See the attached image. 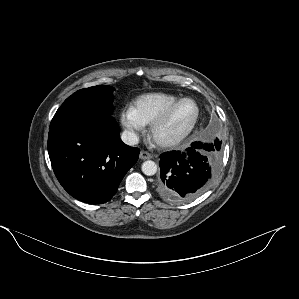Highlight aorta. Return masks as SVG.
Returning <instances> with one entry per match:
<instances>
[{"label": "aorta", "instance_id": "aorta-1", "mask_svg": "<svg viewBox=\"0 0 299 299\" xmlns=\"http://www.w3.org/2000/svg\"><path fill=\"white\" fill-rule=\"evenodd\" d=\"M142 172L147 176H152L157 172V165L154 161L147 160L142 164Z\"/></svg>", "mask_w": 299, "mask_h": 299}]
</instances>
